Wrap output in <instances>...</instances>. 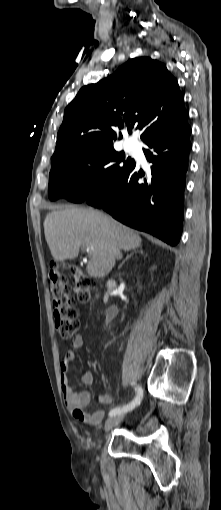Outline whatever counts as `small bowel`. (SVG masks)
<instances>
[{
    "mask_svg": "<svg viewBox=\"0 0 221 510\" xmlns=\"http://www.w3.org/2000/svg\"><path fill=\"white\" fill-rule=\"evenodd\" d=\"M83 344L84 341L81 335H76L71 340V349L65 353L60 362V384L64 403L68 411L77 420L88 425L95 426L102 422L105 417V412L103 410H98L92 414L88 413L86 409L91 403V392L88 390L81 392L75 391L68 378L70 366L76 357L75 351L82 348ZM81 382L84 386H90L93 383L92 373L90 371H86L81 377ZM111 402L112 398L110 396H102V403Z\"/></svg>",
    "mask_w": 221,
    "mask_h": 510,
    "instance_id": "small-bowel-1",
    "label": "small bowel"
}]
</instances>
